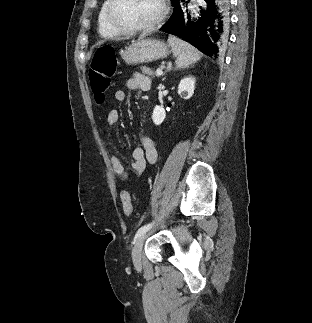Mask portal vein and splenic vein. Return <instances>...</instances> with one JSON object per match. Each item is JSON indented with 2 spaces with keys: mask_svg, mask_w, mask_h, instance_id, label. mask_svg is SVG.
Masks as SVG:
<instances>
[{
  "mask_svg": "<svg viewBox=\"0 0 312 323\" xmlns=\"http://www.w3.org/2000/svg\"><path fill=\"white\" fill-rule=\"evenodd\" d=\"M163 72L162 70H156V76H162Z\"/></svg>",
  "mask_w": 312,
  "mask_h": 323,
  "instance_id": "portal-vein-and-splenic-vein-1",
  "label": "portal vein and splenic vein"
}]
</instances>
